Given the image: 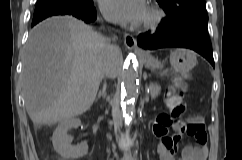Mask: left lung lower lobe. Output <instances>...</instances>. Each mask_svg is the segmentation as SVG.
<instances>
[{"mask_svg": "<svg viewBox=\"0 0 242 160\" xmlns=\"http://www.w3.org/2000/svg\"><path fill=\"white\" fill-rule=\"evenodd\" d=\"M137 43L150 50L165 47L189 48L201 54L215 67L207 24L193 23L172 29L161 21L154 34H140Z\"/></svg>", "mask_w": 242, "mask_h": 160, "instance_id": "left-lung-lower-lobe-1", "label": "left lung lower lobe"}]
</instances>
